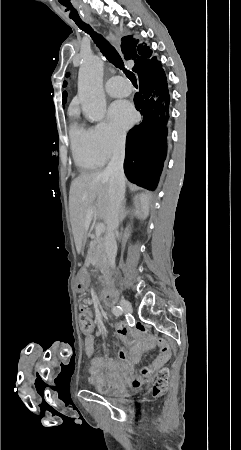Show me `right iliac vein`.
<instances>
[{
    "mask_svg": "<svg viewBox=\"0 0 241 450\" xmlns=\"http://www.w3.org/2000/svg\"><path fill=\"white\" fill-rule=\"evenodd\" d=\"M120 305L122 306V308L124 309L125 312L132 313V306L127 300L121 299Z\"/></svg>",
    "mask_w": 241,
    "mask_h": 450,
    "instance_id": "obj_1",
    "label": "right iliac vein"
}]
</instances>
